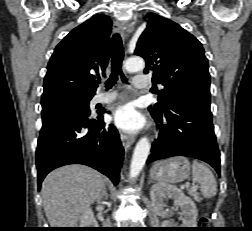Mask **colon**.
<instances>
[{"label": "colon", "mask_w": 252, "mask_h": 231, "mask_svg": "<svg viewBox=\"0 0 252 231\" xmlns=\"http://www.w3.org/2000/svg\"><path fill=\"white\" fill-rule=\"evenodd\" d=\"M208 223V218L207 216H202V218L200 219V224L205 225Z\"/></svg>", "instance_id": "1"}]
</instances>
